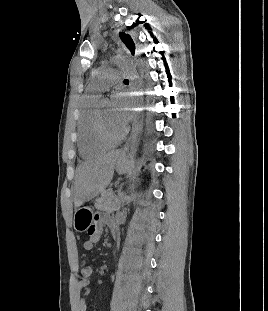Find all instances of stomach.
I'll use <instances>...</instances> for the list:
<instances>
[{
    "label": "stomach",
    "instance_id": "1",
    "mask_svg": "<svg viewBox=\"0 0 268 311\" xmlns=\"http://www.w3.org/2000/svg\"><path fill=\"white\" fill-rule=\"evenodd\" d=\"M131 165V161L128 156H121L115 165V168L119 174L126 172ZM93 221V212L89 207H79L74 212L73 226L77 232L87 231Z\"/></svg>",
    "mask_w": 268,
    "mask_h": 311
}]
</instances>
